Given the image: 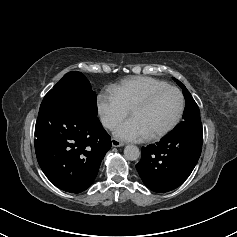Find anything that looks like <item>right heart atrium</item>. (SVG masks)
<instances>
[{
    "instance_id": "right-heart-atrium-1",
    "label": "right heart atrium",
    "mask_w": 237,
    "mask_h": 237,
    "mask_svg": "<svg viewBox=\"0 0 237 237\" xmlns=\"http://www.w3.org/2000/svg\"><path fill=\"white\" fill-rule=\"evenodd\" d=\"M97 109L101 123L107 129L115 128L128 114V110L111 89L98 95Z\"/></svg>"
}]
</instances>
